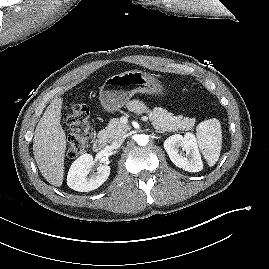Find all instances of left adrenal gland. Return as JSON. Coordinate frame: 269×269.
Returning <instances> with one entry per match:
<instances>
[{
  "label": "left adrenal gland",
  "instance_id": "1",
  "mask_svg": "<svg viewBox=\"0 0 269 269\" xmlns=\"http://www.w3.org/2000/svg\"><path fill=\"white\" fill-rule=\"evenodd\" d=\"M156 133H163V132H161V131H156Z\"/></svg>",
  "mask_w": 269,
  "mask_h": 269
}]
</instances>
